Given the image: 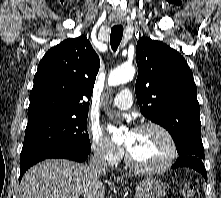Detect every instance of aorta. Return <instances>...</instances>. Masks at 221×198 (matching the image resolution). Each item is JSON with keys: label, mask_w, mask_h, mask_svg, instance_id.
Wrapping results in <instances>:
<instances>
[{"label": "aorta", "mask_w": 221, "mask_h": 198, "mask_svg": "<svg viewBox=\"0 0 221 198\" xmlns=\"http://www.w3.org/2000/svg\"><path fill=\"white\" fill-rule=\"evenodd\" d=\"M135 75V68L133 66H121L113 70L108 77L109 86H117L124 84L133 79ZM107 130L112 135V140L116 141L123 137L121 129L112 125L107 126Z\"/></svg>", "instance_id": "762f6f07"}]
</instances>
